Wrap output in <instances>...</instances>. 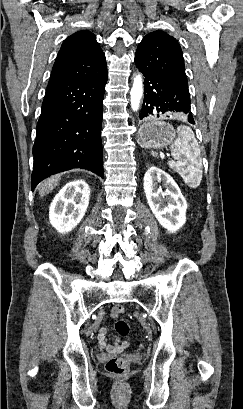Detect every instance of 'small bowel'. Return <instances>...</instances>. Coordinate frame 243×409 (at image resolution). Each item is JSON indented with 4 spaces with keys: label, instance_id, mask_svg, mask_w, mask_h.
Masks as SVG:
<instances>
[{
    "label": "small bowel",
    "instance_id": "c3829d8e",
    "mask_svg": "<svg viewBox=\"0 0 243 409\" xmlns=\"http://www.w3.org/2000/svg\"><path fill=\"white\" fill-rule=\"evenodd\" d=\"M108 330L109 328L107 326H103L99 329L97 340L100 348L112 354L122 352L128 346V342L117 340L114 344H108L106 339Z\"/></svg>",
    "mask_w": 243,
    "mask_h": 409
}]
</instances>
